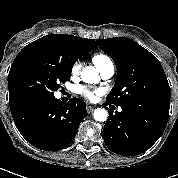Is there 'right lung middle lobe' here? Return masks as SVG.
I'll return each instance as SVG.
<instances>
[{
	"label": "right lung middle lobe",
	"mask_w": 178,
	"mask_h": 178,
	"mask_svg": "<svg viewBox=\"0 0 178 178\" xmlns=\"http://www.w3.org/2000/svg\"><path fill=\"white\" fill-rule=\"evenodd\" d=\"M73 65L74 62L54 50H21L9 71V96H53L60 83L70 80Z\"/></svg>",
	"instance_id": "dd1d6c3e"
}]
</instances>
